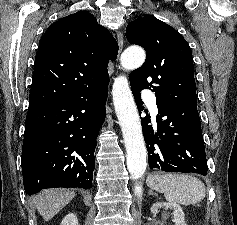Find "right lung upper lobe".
Masks as SVG:
<instances>
[{
  "instance_id": "right-lung-upper-lobe-1",
  "label": "right lung upper lobe",
  "mask_w": 237,
  "mask_h": 225,
  "mask_svg": "<svg viewBox=\"0 0 237 225\" xmlns=\"http://www.w3.org/2000/svg\"><path fill=\"white\" fill-rule=\"evenodd\" d=\"M117 53L116 40L89 12L59 19L39 41L29 106L65 100L109 83L107 66Z\"/></svg>"
}]
</instances>
